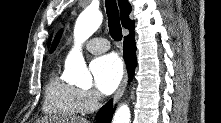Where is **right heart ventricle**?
<instances>
[{"label":"right heart ventricle","mask_w":221,"mask_h":123,"mask_svg":"<svg viewBox=\"0 0 221 123\" xmlns=\"http://www.w3.org/2000/svg\"><path fill=\"white\" fill-rule=\"evenodd\" d=\"M79 89L62 81L53 70L45 85L43 111L48 115L72 117L82 113Z\"/></svg>","instance_id":"obj_1"}]
</instances>
